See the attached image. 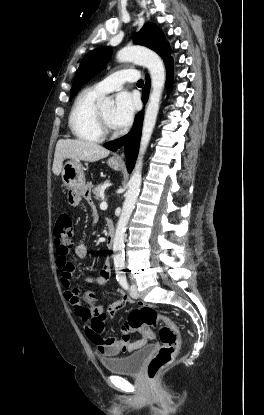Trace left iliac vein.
<instances>
[{
	"instance_id": "4c4485c4",
	"label": "left iliac vein",
	"mask_w": 264,
	"mask_h": 415,
	"mask_svg": "<svg viewBox=\"0 0 264 415\" xmlns=\"http://www.w3.org/2000/svg\"><path fill=\"white\" fill-rule=\"evenodd\" d=\"M130 296L132 298H135V299L138 298V296H139L138 289H137V286L135 284H132L130 286Z\"/></svg>"
}]
</instances>
